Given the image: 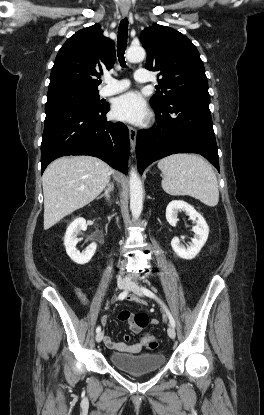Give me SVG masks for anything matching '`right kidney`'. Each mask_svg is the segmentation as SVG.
<instances>
[{
    "mask_svg": "<svg viewBox=\"0 0 264 415\" xmlns=\"http://www.w3.org/2000/svg\"><path fill=\"white\" fill-rule=\"evenodd\" d=\"M86 220L84 218H76L67 228L64 245L68 256L77 264L84 265L88 263L93 255L95 254L97 244L95 242L91 243L85 250V252H80L76 245L78 243V238L76 234L81 230H86Z\"/></svg>",
    "mask_w": 264,
    "mask_h": 415,
    "instance_id": "ca27d5eb",
    "label": "right kidney"
}]
</instances>
